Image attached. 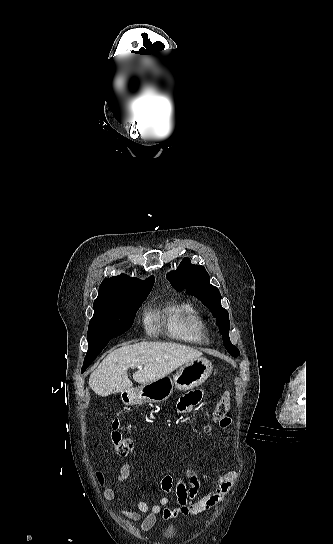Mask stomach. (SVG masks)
Instances as JSON below:
<instances>
[{
    "label": "stomach",
    "instance_id": "stomach-1",
    "mask_svg": "<svg viewBox=\"0 0 333 544\" xmlns=\"http://www.w3.org/2000/svg\"><path fill=\"white\" fill-rule=\"evenodd\" d=\"M212 369L211 362L206 358L190 361L180 367L173 381L165 376L126 391L125 403L141 405L163 402L171 396L174 386L183 391L197 387L207 380Z\"/></svg>",
    "mask_w": 333,
    "mask_h": 544
}]
</instances>
